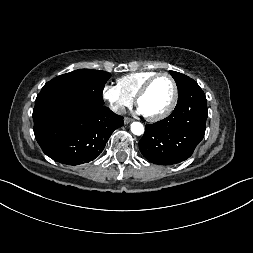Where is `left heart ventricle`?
<instances>
[{"instance_id": "obj_1", "label": "left heart ventricle", "mask_w": 253, "mask_h": 253, "mask_svg": "<svg viewBox=\"0 0 253 253\" xmlns=\"http://www.w3.org/2000/svg\"><path fill=\"white\" fill-rule=\"evenodd\" d=\"M173 94L171 81L167 77H160L140 99L138 108L144 115L154 116L164 111L170 104Z\"/></svg>"}]
</instances>
